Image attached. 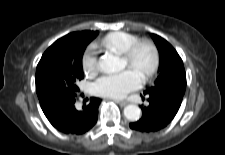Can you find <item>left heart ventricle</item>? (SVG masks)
Returning a JSON list of instances; mask_svg holds the SVG:
<instances>
[{
  "instance_id": "left-heart-ventricle-1",
  "label": "left heart ventricle",
  "mask_w": 225,
  "mask_h": 155,
  "mask_svg": "<svg viewBox=\"0 0 225 155\" xmlns=\"http://www.w3.org/2000/svg\"><path fill=\"white\" fill-rule=\"evenodd\" d=\"M149 63H150V53L147 49L144 48V49L140 50L135 65L130 66V67L133 70H135L142 77L144 71L149 66ZM123 64L125 66L128 65V63L125 59H123Z\"/></svg>"
}]
</instances>
